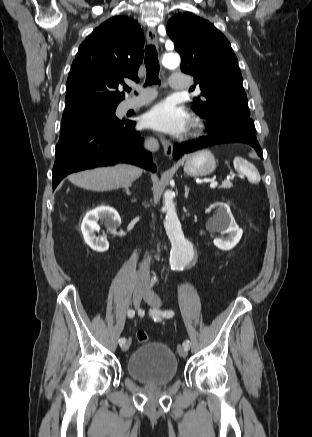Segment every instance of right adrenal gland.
<instances>
[{"label":"right adrenal gland","mask_w":312,"mask_h":437,"mask_svg":"<svg viewBox=\"0 0 312 437\" xmlns=\"http://www.w3.org/2000/svg\"><path fill=\"white\" fill-rule=\"evenodd\" d=\"M124 190H125V192H126L127 195H130V194H131L129 187H125Z\"/></svg>","instance_id":"right-adrenal-gland-1"}]
</instances>
